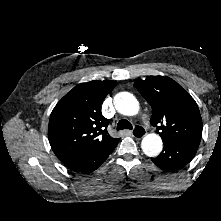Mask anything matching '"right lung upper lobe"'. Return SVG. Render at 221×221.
<instances>
[{"label":"right lung upper lobe","mask_w":221,"mask_h":221,"mask_svg":"<svg viewBox=\"0 0 221 221\" xmlns=\"http://www.w3.org/2000/svg\"><path fill=\"white\" fill-rule=\"evenodd\" d=\"M116 85V81L108 80L81 83L54 107L49 120L48 138L61 162L104 153L118 144L120 139L108 134L109 121L101 113L103 99Z\"/></svg>","instance_id":"right-lung-upper-lobe-1"}]
</instances>
